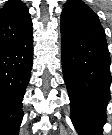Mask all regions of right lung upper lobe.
Masks as SVG:
<instances>
[{
    "instance_id": "right-lung-upper-lobe-1",
    "label": "right lung upper lobe",
    "mask_w": 112,
    "mask_h": 135,
    "mask_svg": "<svg viewBox=\"0 0 112 135\" xmlns=\"http://www.w3.org/2000/svg\"><path fill=\"white\" fill-rule=\"evenodd\" d=\"M32 29L26 4L9 0L0 8V50L22 38Z\"/></svg>"
}]
</instances>
